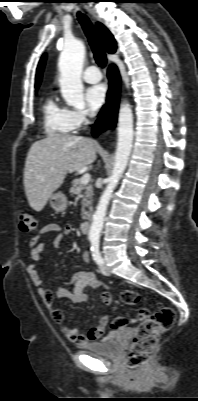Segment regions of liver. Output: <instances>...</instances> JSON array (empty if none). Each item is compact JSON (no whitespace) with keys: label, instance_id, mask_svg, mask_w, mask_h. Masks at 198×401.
I'll list each match as a JSON object with an SVG mask.
<instances>
[{"label":"liver","instance_id":"liver-1","mask_svg":"<svg viewBox=\"0 0 198 401\" xmlns=\"http://www.w3.org/2000/svg\"><path fill=\"white\" fill-rule=\"evenodd\" d=\"M96 153L95 142L81 136L56 134L33 143L24 169L29 205L40 212L52 193L62 185L67 173L92 164Z\"/></svg>","mask_w":198,"mask_h":401}]
</instances>
